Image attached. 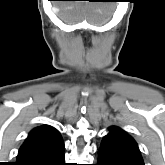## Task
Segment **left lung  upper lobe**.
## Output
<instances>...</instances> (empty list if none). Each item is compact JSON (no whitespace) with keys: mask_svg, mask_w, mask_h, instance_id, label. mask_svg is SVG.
<instances>
[{"mask_svg":"<svg viewBox=\"0 0 165 165\" xmlns=\"http://www.w3.org/2000/svg\"><path fill=\"white\" fill-rule=\"evenodd\" d=\"M99 151L115 165H144L134 139L118 127H111Z\"/></svg>","mask_w":165,"mask_h":165,"instance_id":"left-lung-upper-lobe-1","label":"left lung upper lobe"}]
</instances>
